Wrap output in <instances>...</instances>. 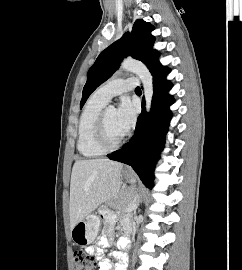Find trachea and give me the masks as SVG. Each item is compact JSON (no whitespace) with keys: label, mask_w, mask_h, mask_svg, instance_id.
Listing matches in <instances>:
<instances>
[{"label":"trachea","mask_w":242,"mask_h":270,"mask_svg":"<svg viewBox=\"0 0 242 270\" xmlns=\"http://www.w3.org/2000/svg\"><path fill=\"white\" fill-rule=\"evenodd\" d=\"M135 92H141L140 87H137V88L135 89Z\"/></svg>","instance_id":"trachea-1"}]
</instances>
